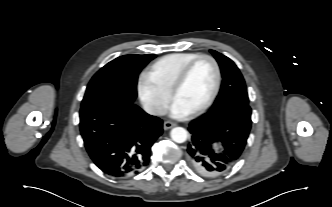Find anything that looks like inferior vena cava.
Instances as JSON below:
<instances>
[{
  "instance_id": "obj_1",
  "label": "inferior vena cava",
  "mask_w": 332,
  "mask_h": 207,
  "mask_svg": "<svg viewBox=\"0 0 332 207\" xmlns=\"http://www.w3.org/2000/svg\"><path fill=\"white\" fill-rule=\"evenodd\" d=\"M143 108L145 112H147L150 115H156V116H161L166 114V109L163 108L162 106H156L152 104H144Z\"/></svg>"
}]
</instances>
